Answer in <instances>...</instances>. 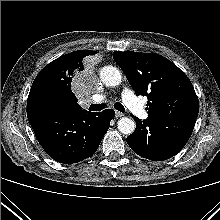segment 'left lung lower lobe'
Returning a JSON list of instances; mask_svg holds the SVG:
<instances>
[{
  "mask_svg": "<svg viewBox=\"0 0 220 220\" xmlns=\"http://www.w3.org/2000/svg\"><path fill=\"white\" fill-rule=\"evenodd\" d=\"M133 117L136 129L127 137V143L136 154L152 161L176 155L190 138L196 121V117L184 115L144 121Z\"/></svg>",
  "mask_w": 220,
  "mask_h": 220,
  "instance_id": "1",
  "label": "left lung lower lobe"
}]
</instances>
